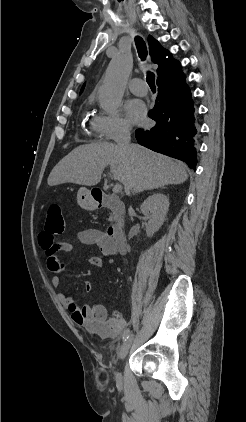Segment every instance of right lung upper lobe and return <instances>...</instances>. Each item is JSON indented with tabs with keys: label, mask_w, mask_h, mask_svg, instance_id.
<instances>
[{
	"label": "right lung upper lobe",
	"mask_w": 246,
	"mask_h": 422,
	"mask_svg": "<svg viewBox=\"0 0 246 422\" xmlns=\"http://www.w3.org/2000/svg\"><path fill=\"white\" fill-rule=\"evenodd\" d=\"M149 53L153 63L158 65L157 69V84L162 82H169L182 75L180 63L173 59L171 53L164 49L159 42L152 36L148 37ZM84 89V85L81 92Z\"/></svg>",
	"instance_id": "right-lung-upper-lobe-1"
}]
</instances>
